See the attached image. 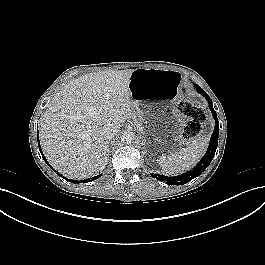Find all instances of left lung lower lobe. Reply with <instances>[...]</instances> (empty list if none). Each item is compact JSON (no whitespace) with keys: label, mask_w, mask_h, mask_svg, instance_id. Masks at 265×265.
I'll return each mask as SVG.
<instances>
[{"label":"left lung lower lobe","mask_w":265,"mask_h":265,"mask_svg":"<svg viewBox=\"0 0 265 265\" xmlns=\"http://www.w3.org/2000/svg\"><path fill=\"white\" fill-rule=\"evenodd\" d=\"M195 88L202 96H204L208 100L209 108L216 122L214 132L211 136L210 144H209L206 154L200 160V162L194 167L193 170L188 171L184 174L175 176V177H168V176L154 174V173L151 174L153 178H156L157 180H160L162 182L164 181L169 185H183V184L190 182L192 179L196 178L197 176H199L211 163L215 155L217 145H218L219 124H218L216 111L214 110L212 106V100L209 97V95L200 86L195 85Z\"/></svg>","instance_id":"left-lung-lower-lobe-1"}]
</instances>
